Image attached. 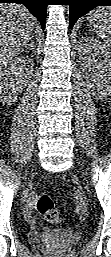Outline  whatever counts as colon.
Here are the masks:
<instances>
[{"mask_svg": "<svg viewBox=\"0 0 111 257\" xmlns=\"http://www.w3.org/2000/svg\"><path fill=\"white\" fill-rule=\"evenodd\" d=\"M36 208L40 214H42L45 219L52 223H60V215L54 208V202L51 195L47 191H40L36 198Z\"/></svg>", "mask_w": 111, "mask_h": 257, "instance_id": "1", "label": "colon"}]
</instances>
